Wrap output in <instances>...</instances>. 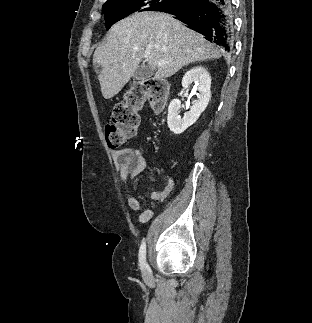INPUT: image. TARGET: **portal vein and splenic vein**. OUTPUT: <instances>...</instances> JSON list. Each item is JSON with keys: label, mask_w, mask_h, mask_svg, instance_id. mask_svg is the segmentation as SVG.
Segmentation results:
<instances>
[{"label": "portal vein and splenic vein", "mask_w": 312, "mask_h": 323, "mask_svg": "<svg viewBox=\"0 0 312 323\" xmlns=\"http://www.w3.org/2000/svg\"><path fill=\"white\" fill-rule=\"evenodd\" d=\"M149 54H145L144 58H147ZM166 64H169V62H157V68H161V66H166Z\"/></svg>", "instance_id": "portal-vein-and-splenic-vein-1"}]
</instances>
